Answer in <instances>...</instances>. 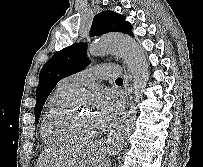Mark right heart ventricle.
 <instances>
[{
	"instance_id": "right-heart-ventricle-1",
	"label": "right heart ventricle",
	"mask_w": 203,
	"mask_h": 167,
	"mask_svg": "<svg viewBox=\"0 0 203 167\" xmlns=\"http://www.w3.org/2000/svg\"><path fill=\"white\" fill-rule=\"evenodd\" d=\"M76 91L78 90L61 82L48 98L40 125L41 138L45 144L58 146L70 142L54 130L53 120Z\"/></svg>"
}]
</instances>
